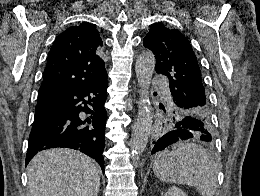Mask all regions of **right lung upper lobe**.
Returning <instances> with one entry per match:
<instances>
[{
  "label": "right lung upper lobe",
  "mask_w": 260,
  "mask_h": 196,
  "mask_svg": "<svg viewBox=\"0 0 260 196\" xmlns=\"http://www.w3.org/2000/svg\"><path fill=\"white\" fill-rule=\"evenodd\" d=\"M105 78L99 32L87 22L72 26L56 38L50 49L38 103Z\"/></svg>",
  "instance_id": "1"
}]
</instances>
